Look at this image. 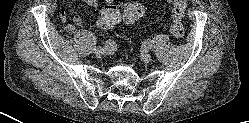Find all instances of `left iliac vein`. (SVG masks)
I'll return each mask as SVG.
<instances>
[{"instance_id":"obj_1","label":"left iliac vein","mask_w":249,"mask_h":123,"mask_svg":"<svg viewBox=\"0 0 249 123\" xmlns=\"http://www.w3.org/2000/svg\"><path fill=\"white\" fill-rule=\"evenodd\" d=\"M140 57H141V60L146 63H149L151 61V55L147 51L141 52Z\"/></svg>"}]
</instances>
